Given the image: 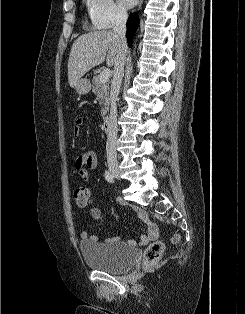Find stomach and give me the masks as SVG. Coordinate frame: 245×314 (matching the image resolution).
Segmentation results:
<instances>
[{
  "label": "stomach",
  "mask_w": 245,
  "mask_h": 314,
  "mask_svg": "<svg viewBox=\"0 0 245 314\" xmlns=\"http://www.w3.org/2000/svg\"><path fill=\"white\" fill-rule=\"evenodd\" d=\"M76 92L79 95H85L91 90L90 81L87 78H80L75 85Z\"/></svg>",
  "instance_id": "1"
}]
</instances>
